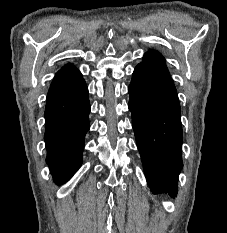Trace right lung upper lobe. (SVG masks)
Returning a JSON list of instances; mask_svg holds the SVG:
<instances>
[{
  "instance_id": "1",
  "label": "right lung upper lobe",
  "mask_w": 227,
  "mask_h": 233,
  "mask_svg": "<svg viewBox=\"0 0 227 233\" xmlns=\"http://www.w3.org/2000/svg\"><path fill=\"white\" fill-rule=\"evenodd\" d=\"M81 80H83L82 74L73 65L68 64L64 66L55 75L47 95V100L71 88Z\"/></svg>"
}]
</instances>
